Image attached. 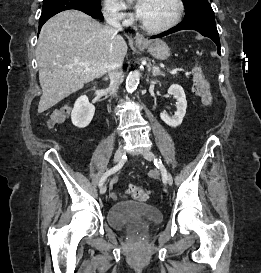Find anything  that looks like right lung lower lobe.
Segmentation results:
<instances>
[{
	"label": "right lung lower lobe",
	"instance_id": "right-lung-lower-lobe-1",
	"mask_svg": "<svg viewBox=\"0 0 261 273\" xmlns=\"http://www.w3.org/2000/svg\"><path fill=\"white\" fill-rule=\"evenodd\" d=\"M64 7H61L55 11L49 12V13H42L39 19V31L42 27V25L52 16L55 14L68 10V9H77L80 11H83L84 13L90 15L93 18L96 19H104L101 9L96 8L94 6L88 5L84 0H69V1H63Z\"/></svg>",
	"mask_w": 261,
	"mask_h": 273
}]
</instances>
